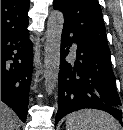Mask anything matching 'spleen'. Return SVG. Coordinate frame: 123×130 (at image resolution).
<instances>
[{"instance_id": "1", "label": "spleen", "mask_w": 123, "mask_h": 130, "mask_svg": "<svg viewBox=\"0 0 123 130\" xmlns=\"http://www.w3.org/2000/svg\"><path fill=\"white\" fill-rule=\"evenodd\" d=\"M66 130H118L116 120L100 110L85 109L66 117Z\"/></svg>"}]
</instances>
